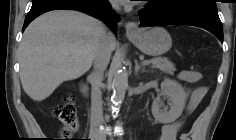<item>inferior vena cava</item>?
<instances>
[{"instance_id":"inferior-vena-cava-1","label":"inferior vena cava","mask_w":236,"mask_h":140,"mask_svg":"<svg viewBox=\"0 0 236 140\" xmlns=\"http://www.w3.org/2000/svg\"><path fill=\"white\" fill-rule=\"evenodd\" d=\"M112 7L119 9L118 3L113 1ZM112 39L111 33H106L100 39L98 46L94 53L93 64L94 71L90 75L91 79V119L95 125H100L103 122L102 112V96L100 85L104 76V71L109 64L112 52Z\"/></svg>"}]
</instances>
